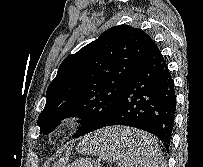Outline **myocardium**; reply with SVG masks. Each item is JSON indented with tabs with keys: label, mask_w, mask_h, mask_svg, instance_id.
Here are the masks:
<instances>
[{
	"label": "myocardium",
	"mask_w": 203,
	"mask_h": 167,
	"mask_svg": "<svg viewBox=\"0 0 203 167\" xmlns=\"http://www.w3.org/2000/svg\"><path fill=\"white\" fill-rule=\"evenodd\" d=\"M75 121V118L70 116L61 118L55 123L51 132L52 135H59L65 133L66 131H68L69 128L74 125Z\"/></svg>",
	"instance_id": "myocardium-1"
}]
</instances>
